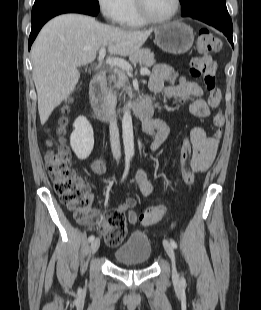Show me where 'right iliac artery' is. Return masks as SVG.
Instances as JSON below:
<instances>
[{"mask_svg":"<svg viewBox=\"0 0 261 310\" xmlns=\"http://www.w3.org/2000/svg\"><path fill=\"white\" fill-rule=\"evenodd\" d=\"M129 165H130V158L126 157V159H125V171H124L122 180H124L126 178L127 174H128ZM94 238H95L94 235H91V236H89L88 241L92 242L94 240Z\"/></svg>","mask_w":261,"mask_h":310,"instance_id":"right-iliac-artery-1","label":"right iliac artery"}]
</instances>
